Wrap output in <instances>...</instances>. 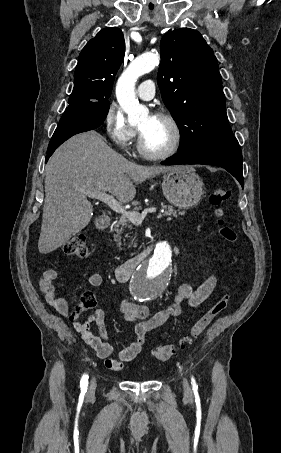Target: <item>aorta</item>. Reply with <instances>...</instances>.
<instances>
[{
	"mask_svg": "<svg viewBox=\"0 0 281 453\" xmlns=\"http://www.w3.org/2000/svg\"><path fill=\"white\" fill-rule=\"evenodd\" d=\"M160 61L157 54L146 53L130 63L118 79L116 97L122 109L128 115V122L136 124L149 113L148 109L139 104L135 96L137 79L152 71ZM172 252L167 242L156 245L154 255L138 266L130 281V290L135 300L150 302L159 297L170 281L169 265Z\"/></svg>",
	"mask_w": 281,
	"mask_h": 453,
	"instance_id": "aorta-1",
	"label": "aorta"
}]
</instances>
